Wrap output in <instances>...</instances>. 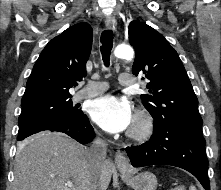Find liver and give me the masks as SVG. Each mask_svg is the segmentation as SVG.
<instances>
[{
	"mask_svg": "<svg viewBox=\"0 0 221 190\" xmlns=\"http://www.w3.org/2000/svg\"><path fill=\"white\" fill-rule=\"evenodd\" d=\"M86 150L64 134L42 132L28 138L16 154L13 190H91L95 184L106 190L114 165L106 160L95 169Z\"/></svg>",
	"mask_w": 221,
	"mask_h": 190,
	"instance_id": "6515ba94",
	"label": "liver"
}]
</instances>
